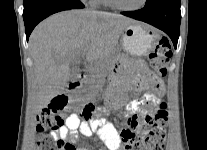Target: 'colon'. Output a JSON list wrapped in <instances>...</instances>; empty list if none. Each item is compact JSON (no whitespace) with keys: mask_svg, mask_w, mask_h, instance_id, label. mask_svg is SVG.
Instances as JSON below:
<instances>
[{"mask_svg":"<svg viewBox=\"0 0 207 150\" xmlns=\"http://www.w3.org/2000/svg\"><path fill=\"white\" fill-rule=\"evenodd\" d=\"M171 55L170 45L167 38H162L154 51L149 54V61L152 69L159 76L167 74V63ZM150 87H161L159 77H150ZM154 91H147L142 103L143 111H154L158 107L154 117L151 119L150 128L139 134L134 129H124L122 135V150H163L166 142V127L168 112L165 103L159 99H153ZM160 103V104H159ZM71 101L66 100L64 95L57 96L51 100V106L43 110L37 118V131L41 133L38 141V150H74L71 143L56 140L45 134L48 131L56 130L64 124V105H70ZM85 117L91 115V108L84 110Z\"/></svg>","mask_w":207,"mask_h":150,"instance_id":"obj_1","label":"colon"}]
</instances>
